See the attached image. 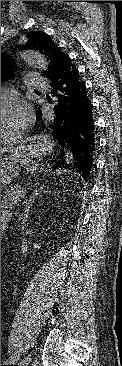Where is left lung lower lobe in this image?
<instances>
[{
    "label": "left lung lower lobe",
    "mask_w": 122,
    "mask_h": 366,
    "mask_svg": "<svg viewBox=\"0 0 122 366\" xmlns=\"http://www.w3.org/2000/svg\"><path fill=\"white\" fill-rule=\"evenodd\" d=\"M46 77L51 86V96L47 94V100L56 99L55 116L51 121L54 136L61 141L65 138L72 148L77 173L87 179L94 161L96 128L85 84L69 56H65ZM36 115L41 116L40 109ZM63 163L59 161V166Z\"/></svg>",
    "instance_id": "0a47b994"
}]
</instances>
